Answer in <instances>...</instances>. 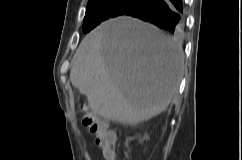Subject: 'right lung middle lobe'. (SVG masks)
I'll return each mask as SVG.
<instances>
[{
  "instance_id": "obj_1",
  "label": "right lung middle lobe",
  "mask_w": 242,
  "mask_h": 160,
  "mask_svg": "<svg viewBox=\"0 0 242 160\" xmlns=\"http://www.w3.org/2000/svg\"><path fill=\"white\" fill-rule=\"evenodd\" d=\"M143 0H89L83 32L87 33L108 18L127 13Z\"/></svg>"
}]
</instances>
